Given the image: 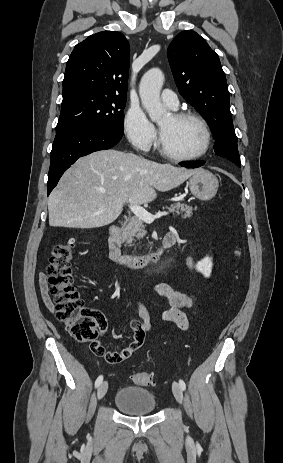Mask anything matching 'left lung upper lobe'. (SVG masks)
I'll return each instance as SVG.
<instances>
[{
	"instance_id": "obj_1",
	"label": "left lung upper lobe",
	"mask_w": 283,
	"mask_h": 463,
	"mask_svg": "<svg viewBox=\"0 0 283 463\" xmlns=\"http://www.w3.org/2000/svg\"><path fill=\"white\" fill-rule=\"evenodd\" d=\"M168 59L180 94L209 123L215 153L240 166L227 81L218 55L200 35L186 30L170 43Z\"/></svg>"
}]
</instances>
